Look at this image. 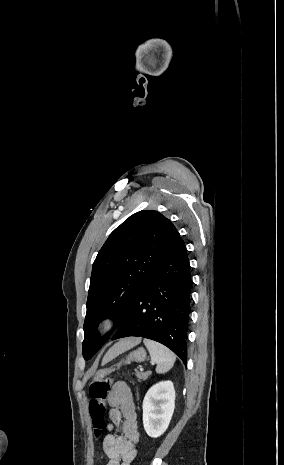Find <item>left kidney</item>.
<instances>
[{
  "label": "left kidney",
  "mask_w": 284,
  "mask_h": 465,
  "mask_svg": "<svg viewBox=\"0 0 284 465\" xmlns=\"http://www.w3.org/2000/svg\"><path fill=\"white\" fill-rule=\"evenodd\" d=\"M143 425L149 437H160L169 427L175 409V391L171 381H162L147 391L143 401Z\"/></svg>",
  "instance_id": "1"
}]
</instances>
